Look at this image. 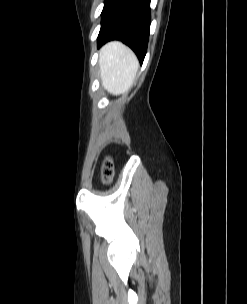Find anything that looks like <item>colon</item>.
Masks as SVG:
<instances>
[{
  "instance_id": "1",
  "label": "colon",
  "mask_w": 247,
  "mask_h": 304,
  "mask_svg": "<svg viewBox=\"0 0 247 304\" xmlns=\"http://www.w3.org/2000/svg\"><path fill=\"white\" fill-rule=\"evenodd\" d=\"M114 174V168L110 157H106L105 162L102 166V179L105 183L111 181Z\"/></svg>"
}]
</instances>
